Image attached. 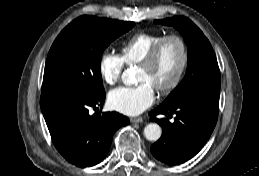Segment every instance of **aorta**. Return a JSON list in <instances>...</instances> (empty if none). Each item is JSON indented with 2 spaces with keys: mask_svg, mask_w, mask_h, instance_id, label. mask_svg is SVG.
I'll return each mask as SVG.
<instances>
[{
  "mask_svg": "<svg viewBox=\"0 0 259 176\" xmlns=\"http://www.w3.org/2000/svg\"><path fill=\"white\" fill-rule=\"evenodd\" d=\"M122 81L125 85L134 83V77L131 70L127 69L122 74ZM162 129L157 123H149L144 128L145 138L149 141H157L161 137Z\"/></svg>",
  "mask_w": 259,
  "mask_h": 176,
  "instance_id": "1",
  "label": "aorta"
}]
</instances>
